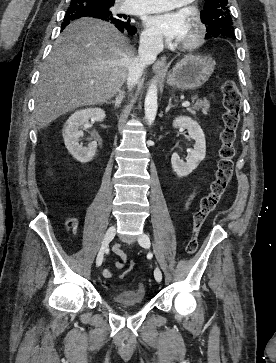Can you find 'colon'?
<instances>
[{
	"mask_svg": "<svg viewBox=\"0 0 276 363\" xmlns=\"http://www.w3.org/2000/svg\"><path fill=\"white\" fill-rule=\"evenodd\" d=\"M223 95L224 126L220 132L221 146L219 150L220 159L216 171L215 179L210 185L209 192L201 199L199 207L193 213L192 231L186 244V253L194 254L198 249V239L202 226L208 215L215 209L225 194L227 186L233 175L236 130L239 123V109L241 104L240 91L232 80L223 82L221 86ZM72 226V222H67ZM134 263L129 262V269Z\"/></svg>",
	"mask_w": 276,
	"mask_h": 363,
	"instance_id": "colon-1",
	"label": "colon"
}]
</instances>
